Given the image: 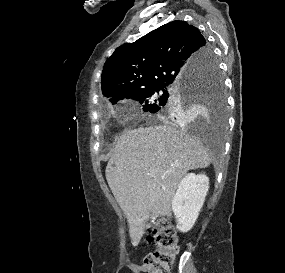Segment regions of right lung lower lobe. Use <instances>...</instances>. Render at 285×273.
I'll return each mask as SVG.
<instances>
[{
    "instance_id": "right-lung-lower-lobe-1",
    "label": "right lung lower lobe",
    "mask_w": 285,
    "mask_h": 273,
    "mask_svg": "<svg viewBox=\"0 0 285 273\" xmlns=\"http://www.w3.org/2000/svg\"><path fill=\"white\" fill-rule=\"evenodd\" d=\"M207 66V61L203 59L199 64L196 65L195 70L200 73L204 70V68ZM190 74L187 73L184 77L180 78L178 81L174 83L178 88H183L186 86H189V79Z\"/></svg>"
}]
</instances>
